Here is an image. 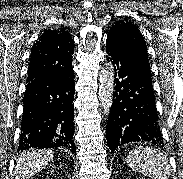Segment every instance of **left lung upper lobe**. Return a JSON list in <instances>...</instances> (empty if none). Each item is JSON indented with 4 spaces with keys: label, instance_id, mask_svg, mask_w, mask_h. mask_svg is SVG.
Returning <instances> with one entry per match:
<instances>
[{
    "label": "left lung upper lobe",
    "instance_id": "left-lung-upper-lobe-1",
    "mask_svg": "<svg viewBox=\"0 0 183 179\" xmlns=\"http://www.w3.org/2000/svg\"><path fill=\"white\" fill-rule=\"evenodd\" d=\"M109 34L116 35L129 46L138 49L147 58V48L143 35L138 28L129 21H118L109 30Z\"/></svg>",
    "mask_w": 183,
    "mask_h": 179
}]
</instances>
